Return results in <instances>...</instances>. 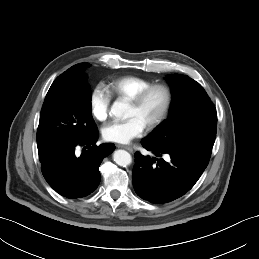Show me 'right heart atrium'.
<instances>
[{
	"label": "right heart atrium",
	"mask_w": 259,
	"mask_h": 259,
	"mask_svg": "<svg viewBox=\"0 0 259 259\" xmlns=\"http://www.w3.org/2000/svg\"><path fill=\"white\" fill-rule=\"evenodd\" d=\"M111 95L102 84H97L90 94V108L92 115L99 121H105L109 115Z\"/></svg>",
	"instance_id": "obj_1"
}]
</instances>
